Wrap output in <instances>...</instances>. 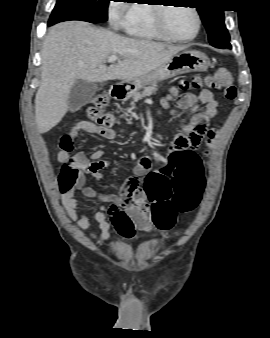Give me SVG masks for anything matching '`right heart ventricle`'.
Returning a JSON list of instances; mask_svg holds the SVG:
<instances>
[{
    "label": "right heart ventricle",
    "instance_id": "e07e8e85",
    "mask_svg": "<svg viewBox=\"0 0 270 338\" xmlns=\"http://www.w3.org/2000/svg\"><path fill=\"white\" fill-rule=\"evenodd\" d=\"M131 36L146 40H166L155 28L153 6L136 4L130 8L129 21L123 26Z\"/></svg>",
    "mask_w": 270,
    "mask_h": 338
}]
</instances>
